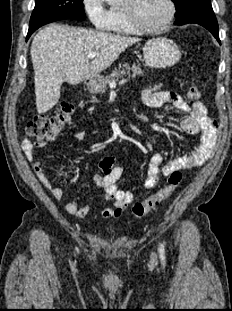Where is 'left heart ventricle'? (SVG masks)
<instances>
[{"label":"left heart ventricle","instance_id":"obj_1","mask_svg":"<svg viewBox=\"0 0 232 311\" xmlns=\"http://www.w3.org/2000/svg\"><path fill=\"white\" fill-rule=\"evenodd\" d=\"M124 5H131L137 21L146 27L159 25L168 14V5L165 0H132Z\"/></svg>","mask_w":232,"mask_h":311}]
</instances>
